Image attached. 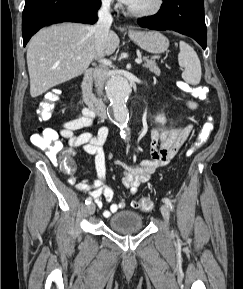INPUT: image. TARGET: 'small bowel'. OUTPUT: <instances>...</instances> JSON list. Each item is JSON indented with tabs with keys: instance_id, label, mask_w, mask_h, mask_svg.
<instances>
[{
	"instance_id": "c3829d8e",
	"label": "small bowel",
	"mask_w": 243,
	"mask_h": 289,
	"mask_svg": "<svg viewBox=\"0 0 243 289\" xmlns=\"http://www.w3.org/2000/svg\"><path fill=\"white\" fill-rule=\"evenodd\" d=\"M186 104L192 110L198 106L192 100H188ZM95 118L96 115L90 109L84 108L78 116L64 122L57 134L67 140L68 151L72 155L76 154L77 149H81L94 157L97 179L92 182L87 180L77 182L76 176L71 175L69 182L76 189L87 193L99 208H102V197H104L106 202L110 203V206L103 210V215L104 217H110L125 208L127 203L124 199L113 202L114 193L104 183L106 165L103 144L108 136V128L103 126L96 133H77L81 129L92 126L95 123ZM192 129L191 124L179 125L171 129L153 128L150 132L149 159H145L137 165L128 164L123 160L117 161V164L122 168V184L131 195H136L138 188L148 182L158 168L169 164L190 135Z\"/></svg>"
}]
</instances>
